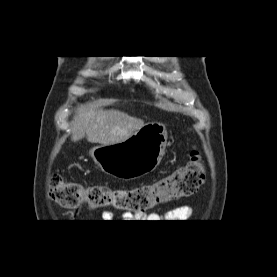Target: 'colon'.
<instances>
[{"label": "colon", "instance_id": "obj_1", "mask_svg": "<svg viewBox=\"0 0 277 277\" xmlns=\"http://www.w3.org/2000/svg\"><path fill=\"white\" fill-rule=\"evenodd\" d=\"M205 179V168L199 152H191L190 161L159 181L130 189H115L102 185L85 186L68 182L53 174L49 196L66 208L87 206L95 209L112 207L133 213H145L153 207L192 196Z\"/></svg>", "mask_w": 277, "mask_h": 277}]
</instances>
